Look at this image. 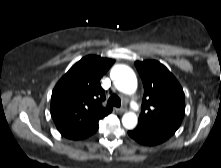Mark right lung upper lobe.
I'll return each mask as SVG.
<instances>
[{"label": "right lung upper lobe", "mask_w": 221, "mask_h": 168, "mask_svg": "<svg viewBox=\"0 0 221 168\" xmlns=\"http://www.w3.org/2000/svg\"><path fill=\"white\" fill-rule=\"evenodd\" d=\"M115 60L88 55L74 64L58 81L51 96V116L65 137L80 136L98 128L112 111L103 107L105 91L100 79Z\"/></svg>", "instance_id": "1"}]
</instances>
